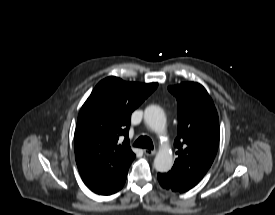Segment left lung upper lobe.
<instances>
[{
	"mask_svg": "<svg viewBox=\"0 0 275 215\" xmlns=\"http://www.w3.org/2000/svg\"><path fill=\"white\" fill-rule=\"evenodd\" d=\"M178 102V136L174 146L178 158L171 170L200 181L217 153L219 119L214 103L199 83L168 87Z\"/></svg>",
	"mask_w": 275,
	"mask_h": 215,
	"instance_id": "obj_1",
	"label": "left lung upper lobe"
}]
</instances>
